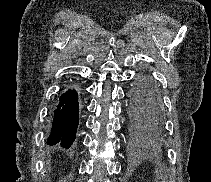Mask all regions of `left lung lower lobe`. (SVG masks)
<instances>
[{"label":"left lung lower lobe","instance_id":"1","mask_svg":"<svg viewBox=\"0 0 211 182\" xmlns=\"http://www.w3.org/2000/svg\"><path fill=\"white\" fill-rule=\"evenodd\" d=\"M133 107L138 118L155 133L164 123V109L161 94L155 81L148 75H141L131 90Z\"/></svg>","mask_w":211,"mask_h":182}]
</instances>
